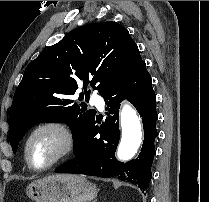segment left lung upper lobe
Returning <instances> with one entry per match:
<instances>
[{
    "label": "left lung upper lobe",
    "instance_id": "1",
    "mask_svg": "<svg viewBox=\"0 0 209 202\" xmlns=\"http://www.w3.org/2000/svg\"><path fill=\"white\" fill-rule=\"evenodd\" d=\"M142 63L129 32L113 21L81 26L48 47L29 63L15 91L9 112L13 152L26 132L39 123L65 122L76 144L96 113L86 111L83 103H74L72 95L78 86L91 85L103 96ZM89 96L86 91L85 99ZM83 99L81 93L79 100Z\"/></svg>",
    "mask_w": 209,
    "mask_h": 202
}]
</instances>
